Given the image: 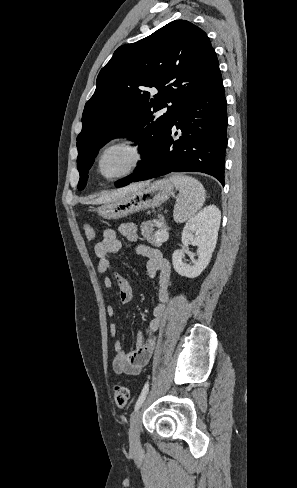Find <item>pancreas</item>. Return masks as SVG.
I'll return each mask as SVG.
<instances>
[{
	"label": "pancreas",
	"mask_w": 297,
	"mask_h": 488,
	"mask_svg": "<svg viewBox=\"0 0 297 488\" xmlns=\"http://www.w3.org/2000/svg\"><path fill=\"white\" fill-rule=\"evenodd\" d=\"M158 222L161 224V229H164L166 227L165 224H164V218H160ZM154 224H156V221L155 220H150V221L144 223V225H149V226H154ZM148 233H149L147 235L148 241H150V242H152L154 244H159L156 241V233L153 234L152 231H149Z\"/></svg>",
	"instance_id": "cf45deb5"
}]
</instances>
